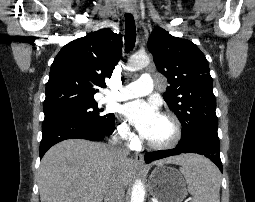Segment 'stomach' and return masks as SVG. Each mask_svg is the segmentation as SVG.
<instances>
[{
	"label": "stomach",
	"instance_id": "1",
	"mask_svg": "<svg viewBox=\"0 0 255 202\" xmlns=\"http://www.w3.org/2000/svg\"><path fill=\"white\" fill-rule=\"evenodd\" d=\"M186 185L181 173L166 165H157L148 182L151 195L159 202H182L187 195Z\"/></svg>",
	"mask_w": 255,
	"mask_h": 202
}]
</instances>
